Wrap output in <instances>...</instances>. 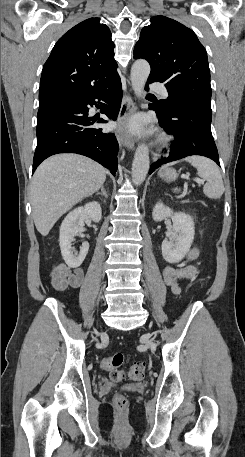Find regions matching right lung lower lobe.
<instances>
[{"label":"right lung lower lobe","instance_id":"98d812e1","mask_svg":"<svg viewBox=\"0 0 245 457\" xmlns=\"http://www.w3.org/2000/svg\"><path fill=\"white\" fill-rule=\"evenodd\" d=\"M121 87L118 77L90 92L40 106L33 172L51 155L77 153L94 159L115 175L118 165L117 139L112 133H104L101 128L91 127L95 122L107 121L88 117V111L89 106H101L102 113L109 119L116 120L122 100Z\"/></svg>","mask_w":245,"mask_h":457}]
</instances>
